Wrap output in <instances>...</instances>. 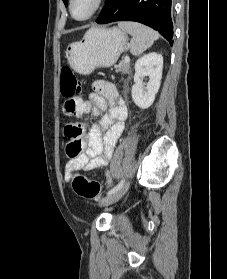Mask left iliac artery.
<instances>
[{"label": "left iliac artery", "instance_id": "obj_1", "mask_svg": "<svg viewBox=\"0 0 227 279\" xmlns=\"http://www.w3.org/2000/svg\"><path fill=\"white\" fill-rule=\"evenodd\" d=\"M125 180L122 179L114 188H112L107 194L110 195L116 191H118L123 185H124Z\"/></svg>", "mask_w": 227, "mask_h": 279}]
</instances>
